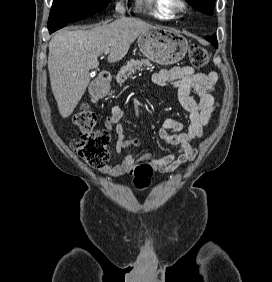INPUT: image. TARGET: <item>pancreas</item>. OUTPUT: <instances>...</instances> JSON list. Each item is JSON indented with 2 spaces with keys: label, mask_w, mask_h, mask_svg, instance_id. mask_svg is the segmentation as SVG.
I'll return each mask as SVG.
<instances>
[{
  "label": "pancreas",
  "mask_w": 272,
  "mask_h": 282,
  "mask_svg": "<svg viewBox=\"0 0 272 282\" xmlns=\"http://www.w3.org/2000/svg\"><path fill=\"white\" fill-rule=\"evenodd\" d=\"M151 66L152 64L147 59H141V60L132 59L130 61H127V63L121 67L120 71L116 76V80L119 84H122L127 80V78H129L137 70L140 71L142 69L149 68Z\"/></svg>",
  "instance_id": "pancreas-1"
}]
</instances>
